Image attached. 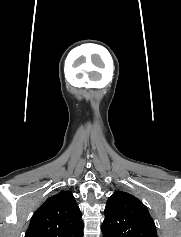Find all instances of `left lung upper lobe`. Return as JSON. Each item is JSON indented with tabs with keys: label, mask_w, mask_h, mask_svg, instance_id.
<instances>
[{
	"label": "left lung upper lobe",
	"mask_w": 181,
	"mask_h": 237,
	"mask_svg": "<svg viewBox=\"0 0 181 237\" xmlns=\"http://www.w3.org/2000/svg\"><path fill=\"white\" fill-rule=\"evenodd\" d=\"M104 237H157L146 206L135 196L115 191L105 207Z\"/></svg>",
	"instance_id": "5c2ea615"
}]
</instances>
